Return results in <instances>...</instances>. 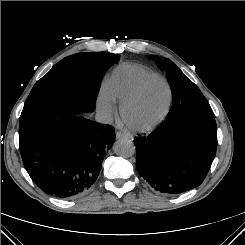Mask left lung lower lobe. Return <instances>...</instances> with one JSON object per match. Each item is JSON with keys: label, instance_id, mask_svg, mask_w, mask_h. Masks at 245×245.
<instances>
[{"label": "left lung lower lobe", "instance_id": "1", "mask_svg": "<svg viewBox=\"0 0 245 245\" xmlns=\"http://www.w3.org/2000/svg\"><path fill=\"white\" fill-rule=\"evenodd\" d=\"M136 168L156 191L179 194L200 185L217 149L215 116L182 112L134 140Z\"/></svg>", "mask_w": 245, "mask_h": 245}]
</instances>
